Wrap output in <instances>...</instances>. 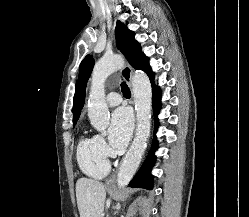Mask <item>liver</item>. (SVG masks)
<instances>
[{
  "mask_svg": "<svg viewBox=\"0 0 249 217\" xmlns=\"http://www.w3.org/2000/svg\"><path fill=\"white\" fill-rule=\"evenodd\" d=\"M76 198L80 217H102L106 199L102 182L89 178L78 179Z\"/></svg>",
  "mask_w": 249,
  "mask_h": 217,
  "instance_id": "6515ba94",
  "label": "liver"
}]
</instances>
